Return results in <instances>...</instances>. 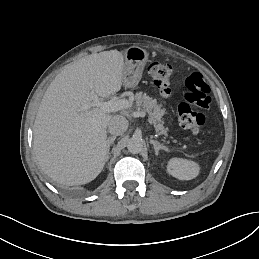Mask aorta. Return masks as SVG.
<instances>
[{
  "mask_svg": "<svg viewBox=\"0 0 259 259\" xmlns=\"http://www.w3.org/2000/svg\"><path fill=\"white\" fill-rule=\"evenodd\" d=\"M127 149L132 154H138L143 149V142L138 138H131L127 142Z\"/></svg>",
  "mask_w": 259,
  "mask_h": 259,
  "instance_id": "762f6f07",
  "label": "aorta"
}]
</instances>
